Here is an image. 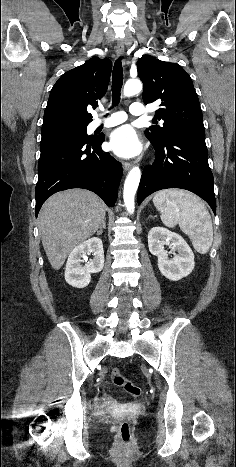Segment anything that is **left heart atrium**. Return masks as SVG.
Listing matches in <instances>:
<instances>
[{
  "label": "left heart atrium",
  "instance_id": "39dd6f15",
  "mask_svg": "<svg viewBox=\"0 0 236 467\" xmlns=\"http://www.w3.org/2000/svg\"><path fill=\"white\" fill-rule=\"evenodd\" d=\"M110 148L120 157H132L141 151L136 131L130 125L115 129L110 136Z\"/></svg>",
  "mask_w": 236,
  "mask_h": 467
}]
</instances>
